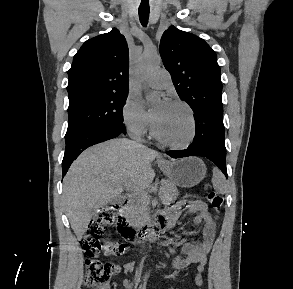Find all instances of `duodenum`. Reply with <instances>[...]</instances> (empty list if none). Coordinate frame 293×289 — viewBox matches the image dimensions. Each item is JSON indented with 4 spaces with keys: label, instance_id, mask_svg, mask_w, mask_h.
Masks as SVG:
<instances>
[{
    "label": "duodenum",
    "instance_id": "obj_1",
    "mask_svg": "<svg viewBox=\"0 0 293 289\" xmlns=\"http://www.w3.org/2000/svg\"><path fill=\"white\" fill-rule=\"evenodd\" d=\"M130 200L126 198L116 206V229L118 233L128 242L143 244L154 241L161 236L167 228V222L164 218H157L153 224L143 227H135L130 223L127 216V210Z\"/></svg>",
    "mask_w": 293,
    "mask_h": 289
}]
</instances>
